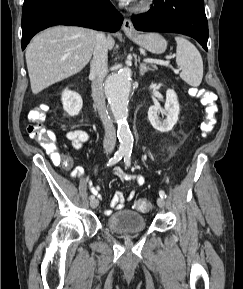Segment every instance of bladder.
<instances>
[{"label":"bladder","instance_id":"obj_1","mask_svg":"<svg viewBox=\"0 0 243 289\" xmlns=\"http://www.w3.org/2000/svg\"><path fill=\"white\" fill-rule=\"evenodd\" d=\"M106 226L115 233L140 232L146 228V219L138 212L124 209L110 214Z\"/></svg>","mask_w":243,"mask_h":289}]
</instances>
